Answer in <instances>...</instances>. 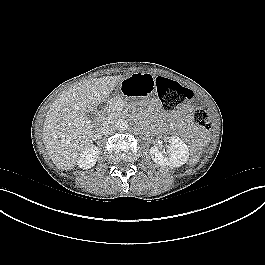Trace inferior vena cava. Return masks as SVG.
I'll return each mask as SVG.
<instances>
[{
	"instance_id": "1",
	"label": "inferior vena cava",
	"mask_w": 265,
	"mask_h": 265,
	"mask_svg": "<svg viewBox=\"0 0 265 265\" xmlns=\"http://www.w3.org/2000/svg\"><path fill=\"white\" fill-rule=\"evenodd\" d=\"M115 130L114 123L110 120H103L100 124L99 131L104 135H110Z\"/></svg>"
}]
</instances>
